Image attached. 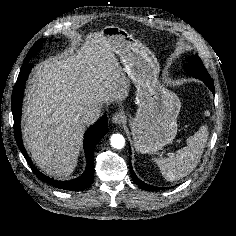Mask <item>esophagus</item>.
<instances>
[{"label": "esophagus", "mask_w": 236, "mask_h": 236, "mask_svg": "<svg viewBox=\"0 0 236 236\" xmlns=\"http://www.w3.org/2000/svg\"><path fill=\"white\" fill-rule=\"evenodd\" d=\"M112 122L116 125L122 124L125 120V116L122 112H116L112 116Z\"/></svg>", "instance_id": "1"}]
</instances>
